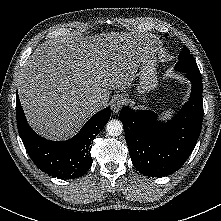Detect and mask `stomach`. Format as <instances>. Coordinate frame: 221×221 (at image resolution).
<instances>
[{
  "label": "stomach",
  "mask_w": 221,
  "mask_h": 221,
  "mask_svg": "<svg viewBox=\"0 0 221 221\" xmlns=\"http://www.w3.org/2000/svg\"><path fill=\"white\" fill-rule=\"evenodd\" d=\"M158 77L156 71V58H147L141 60L139 68V85L138 92L144 94L156 88Z\"/></svg>",
  "instance_id": "obj_1"
}]
</instances>
